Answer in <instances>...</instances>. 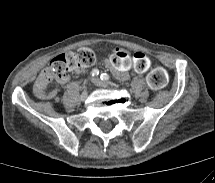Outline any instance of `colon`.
Here are the masks:
<instances>
[{
	"mask_svg": "<svg viewBox=\"0 0 215 183\" xmlns=\"http://www.w3.org/2000/svg\"><path fill=\"white\" fill-rule=\"evenodd\" d=\"M94 62L95 55L89 48H81L75 52L62 53L49 63L45 70L44 80L63 78L68 74V72L90 67ZM146 80L151 88L160 89L166 85L168 75L165 69L156 67L148 72Z\"/></svg>",
	"mask_w": 215,
	"mask_h": 183,
	"instance_id": "colon-1",
	"label": "colon"
}]
</instances>
